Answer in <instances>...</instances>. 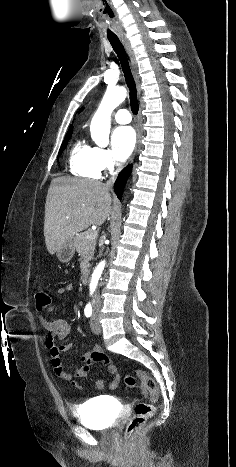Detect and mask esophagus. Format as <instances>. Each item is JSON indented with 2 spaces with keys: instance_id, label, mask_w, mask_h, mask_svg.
Segmentation results:
<instances>
[{
  "instance_id": "1",
  "label": "esophagus",
  "mask_w": 236,
  "mask_h": 467,
  "mask_svg": "<svg viewBox=\"0 0 236 467\" xmlns=\"http://www.w3.org/2000/svg\"><path fill=\"white\" fill-rule=\"evenodd\" d=\"M122 42H123V45H124V47H125V49L127 51L128 56H129L132 72H133L135 82H136V85H137V91H138V94L140 95L141 94V81H140V77H139V74H138V65H137V61H136L133 49H132V47H131V45H130V43H129V41H128V39L126 37H122ZM139 147H140V132H139V128H138L137 145H136V149H135V152H134V156L137 153Z\"/></svg>"
}]
</instances>
